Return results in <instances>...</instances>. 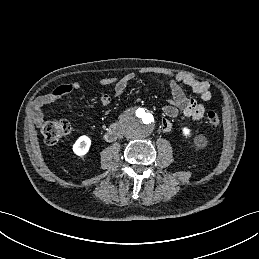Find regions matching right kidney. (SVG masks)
<instances>
[{"instance_id": "ca27d5eb", "label": "right kidney", "mask_w": 259, "mask_h": 259, "mask_svg": "<svg viewBox=\"0 0 259 259\" xmlns=\"http://www.w3.org/2000/svg\"><path fill=\"white\" fill-rule=\"evenodd\" d=\"M90 145L91 139L88 136H80L73 145V151L76 155L83 156L89 151Z\"/></svg>"}]
</instances>
